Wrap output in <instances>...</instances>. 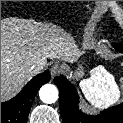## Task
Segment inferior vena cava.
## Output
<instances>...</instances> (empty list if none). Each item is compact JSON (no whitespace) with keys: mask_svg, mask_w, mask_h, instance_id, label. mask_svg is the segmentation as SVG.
I'll list each match as a JSON object with an SVG mask.
<instances>
[{"mask_svg":"<svg viewBox=\"0 0 123 123\" xmlns=\"http://www.w3.org/2000/svg\"><path fill=\"white\" fill-rule=\"evenodd\" d=\"M42 67L38 66V65H35V64H32L29 68H28V71L29 72H33L37 69H41Z\"/></svg>","mask_w":123,"mask_h":123,"instance_id":"1","label":"inferior vena cava"}]
</instances>
